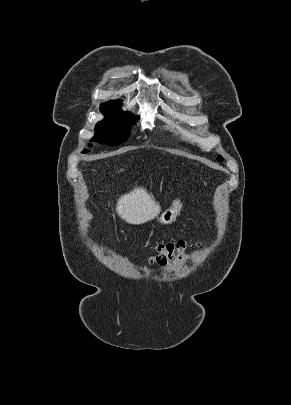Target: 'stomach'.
Masks as SVG:
<instances>
[{
  "label": "stomach",
  "mask_w": 291,
  "mask_h": 405,
  "mask_svg": "<svg viewBox=\"0 0 291 405\" xmlns=\"http://www.w3.org/2000/svg\"><path fill=\"white\" fill-rule=\"evenodd\" d=\"M182 208V203L180 200H174L172 206L167 209L160 217V223L162 224H171L177 218Z\"/></svg>",
  "instance_id": "0dacf381"
}]
</instances>
